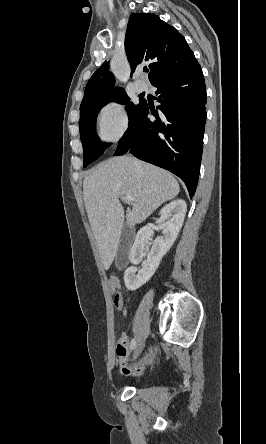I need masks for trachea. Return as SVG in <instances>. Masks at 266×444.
Listing matches in <instances>:
<instances>
[{"label":"trachea","mask_w":266,"mask_h":444,"mask_svg":"<svg viewBox=\"0 0 266 444\" xmlns=\"http://www.w3.org/2000/svg\"><path fill=\"white\" fill-rule=\"evenodd\" d=\"M143 71H144V72H148V68H147V67H144V68H143Z\"/></svg>","instance_id":"trachea-1"}]
</instances>
